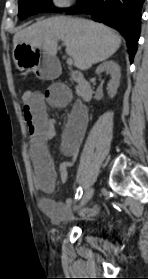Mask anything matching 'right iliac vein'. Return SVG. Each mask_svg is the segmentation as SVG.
Wrapping results in <instances>:
<instances>
[{"instance_id":"1","label":"right iliac vein","mask_w":148,"mask_h":279,"mask_svg":"<svg viewBox=\"0 0 148 279\" xmlns=\"http://www.w3.org/2000/svg\"><path fill=\"white\" fill-rule=\"evenodd\" d=\"M94 192V188L90 187L86 190V192L84 193L80 203H79V208L83 207L84 205L87 204V202L91 199L92 195Z\"/></svg>"}]
</instances>
